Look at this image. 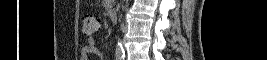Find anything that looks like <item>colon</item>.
<instances>
[{"instance_id": "5ec220e1", "label": "colon", "mask_w": 267, "mask_h": 60, "mask_svg": "<svg viewBox=\"0 0 267 60\" xmlns=\"http://www.w3.org/2000/svg\"><path fill=\"white\" fill-rule=\"evenodd\" d=\"M99 27V21L98 19L91 15V14H86L83 17V21H82V28L84 33H92L94 31H96Z\"/></svg>"}]
</instances>
